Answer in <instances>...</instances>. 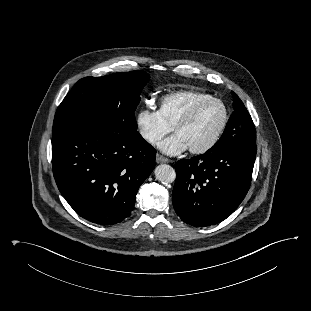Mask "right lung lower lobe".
<instances>
[{
    "mask_svg": "<svg viewBox=\"0 0 311 311\" xmlns=\"http://www.w3.org/2000/svg\"><path fill=\"white\" fill-rule=\"evenodd\" d=\"M156 150L137 132L69 131L52 138L53 174L63 197L84 219L112 225L128 217Z\"/></svg>",
    "mask_w": 311,
    "mask_h": 311,
    "instance_id": "right-lung-lower-lobe-1",
    "label": "right lung lower lobe"
}]
</instances>
